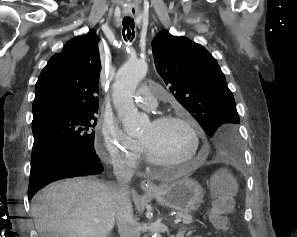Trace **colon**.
<instances>
[{
    "label": "colon",
    "mask_w": 297,
    "mask_h": 237,
    "mask_svg": "<svg viewBox=\"0 0 297 237\" xmlns=\"http://www.w3.org/2000/svg\"><path fill=\"white\" fill-rule=\"evenodd\" d=\"M214 207L210 213L213 226L221 231L228 230V213L233 206L234 182L224 172L216 174L212 179Z\"/></svg>",
    "instance_id": "1"
}]
</instances>
